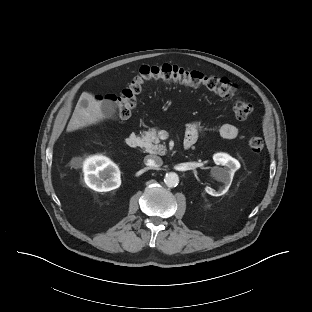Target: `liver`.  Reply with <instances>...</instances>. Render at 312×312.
<instances>
[{"instance_id": "liver-1", "label": "liver", "mask_w": 312, "mask_h": 312, "mask_svg": "<svg viewBox=\"0 0 312 312\" xmlns=\"http://www.w3.org/2000/svg\"><path fill=\"white\" fill-rule=\"evenodd\" d=\"M102 120L100 102L91 93L83 92L68 123L67 132L95 125Z\"/></svg>"}]
</instances>
